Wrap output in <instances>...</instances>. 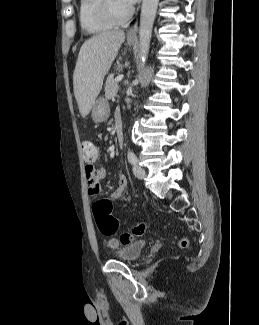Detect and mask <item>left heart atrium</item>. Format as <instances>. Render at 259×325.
Returning <instances> with one entry per match:
<instances>
[{"instance_id": "1", "label": "left heart atrium", "mask_w": 259, "mask_h": 325, "mask_svg": "<svg viewBox=\"0 0 259 325\" xmlns=\"http://www.w3.org/2000/svg\"><path fill=\"white\" fill-rule=\"evenodd\" d=\"M137 0H123V2L128 5V6H131L133 5Z\"/></svg>"}]
</instances>
